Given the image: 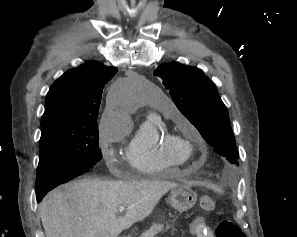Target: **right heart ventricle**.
<instances>
[{
  "label": "right heart ventricle",
  "mask_w": 297,
  "mask_h": 237,
  "mask_svg": "<svg viewBox=\"0 0 297 237\" xmlns=\"http://www.w3.org/2000/svg\"><path fill=\"white\" fill-rule=\"evenodd\" d=\"M157 106L164 116L174 113L159 103ZM126 153L130 165L146 175L181 167L188 159V155L177 147L165 122L157 114H149L142 120L127 146Z\"/></svg>",
  "instance_id": "e07e8e85"
}]
</instances>
